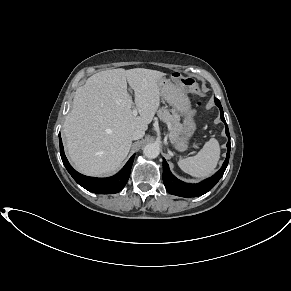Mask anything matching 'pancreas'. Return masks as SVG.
<instances>
[{"instance_id":"pancreas-1","label":"pancreas","mask_w":291,"mask_h":291,"mask_svg":"<svg viewBox=\"0 0 291 291\" xmlns=\"http://www.w3.org/2000/svg\"><path fill=\"white\" fill-rule=\"evenodd\" d=\"M158 117L170 127L169 137L171 140L178 138V132L181 128L179 123V116L175 111L172 114L166 109L162 108L158 111Z\"/></svg>"}]
</instances>
